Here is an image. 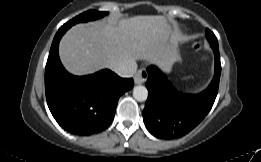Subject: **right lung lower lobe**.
Segmentation results:
<instances>
[{"instance_id": "obj_1", "label": "right lung lower lobe", "mask_w": 261, "mask_h": 162, "mask_svg": "<svg viewBox=\"0 0 261 162\" xmlns=\"http://www.w3.org/2000/svg\"><path fill=\"white\" fill-rule=\"evenodd\" d=\"M70 27L67 23L61 26L52 42L45 68L46 99L61 127L88 136L112 123L120 96L132 89L134 81L108 69L82 77L69 74L60 62L58 45Z\"/></svg>"}]
</instances>
